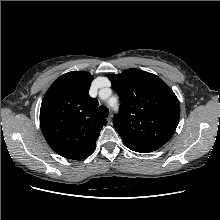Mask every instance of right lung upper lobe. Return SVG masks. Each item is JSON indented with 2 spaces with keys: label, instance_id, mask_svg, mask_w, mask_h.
Segmentation results:
<instances>
[{
  "label": "right lung upper lobe",
  "instance_id": "right-lung-upper-lobe-1",
  "mask_svg": "<svg viewBox=\"0 0 220 220\" xmlns=\"http://www.w3.org/2000/svg\"><path fill=\"white\" fill-rule=\"evenodd\" d=\"M92 75L72 71L57 78L40 109V126L49 146L73 160L88 157L107 120L97 114L98 101L89 96Z\"/></svg>",
  "mask_w": 220,
  "mask_h": 220
}]
</instances>
